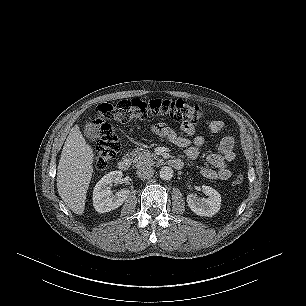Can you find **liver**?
Segmentation results:
<instances>
[{"label":"liver","mask_w":306,"mask_h":306,"mask_svg":"<svg viewBox=\"0 0 306 306\" xmlns=\"http://www.w3.org/2000/svg\"><path fill=\"white\" fill-rule=\"evenodd\" d=\"M94 153L79 127L74 126L63 146L57 172V190L67 207L83 215L93 173Z\"/></svg>","instance_id":"1"}]
</instances>
